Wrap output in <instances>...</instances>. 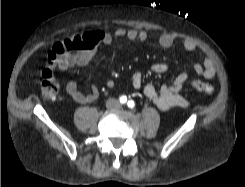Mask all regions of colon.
<instances>
[{
	"mask_svg": "<svg viewBox=\"0 0 245 187\" xmlns=\"http://www.w3.org/2000/svg\"><path fill=\"white\" fill-rule=\"evenodd\" d=\"M88 49L87 36L85 34H75L64 38L54 44L51 50V59L47 61L46 67L41 72V91L46 100H54L59 93V85L56 80L55 70L57 61L75 51ZM190 86L204 94L211 95L215 92V86L201 80L190 81Z\"/></svg>",
	"mask_w": 245,
	"mask_h": 187,
	"instance_id": "1",
	"label": "colon"
}]
</instances>
